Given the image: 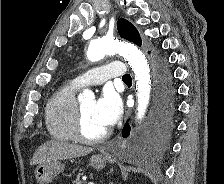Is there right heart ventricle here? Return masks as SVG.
I'll return each instance as SVG.
<instances>
[{"label": "right heart ventricle", "instance_id": "right-heart-ventricle-1", "mask_svg": "<svg viewBox=\"0 0 224 184\" xmlns=\"http://www.w3.org/2000/svg\"><path fill=\"white\" fill-rule=\"evenodd\" d=\"M77 87L67 83L58 88L49 98L45 108L46 128L54 139L75 141L73 129L74 114L77 105L75 92Z\"/></svg>", "mask_w": 224, "mask_h": 184}]
</instances>
